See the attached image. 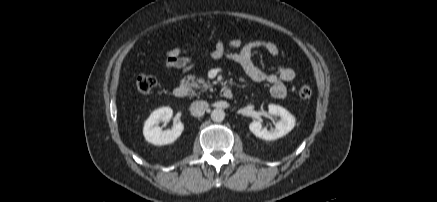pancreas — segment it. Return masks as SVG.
<instances>
[{
    "mask_svg": "<svg viewBox=\"0 0 437 202\" xmlns=\"http://www.w3.org/2000/svg\"><path fill=\"white\" fill-rule=\"evenodd\" d=\"M182 83L189 89L191 95H196L194 89H200L201 91H207L211 85L205 82L204 79L198 78L195 75H188L187 78L182 80Z\"/></svg>",
    "mask_w": 437,
    "mask_h": 202,
    "instance_id": "obj_1",
    "label": "pancreas"
}]
</instances>
